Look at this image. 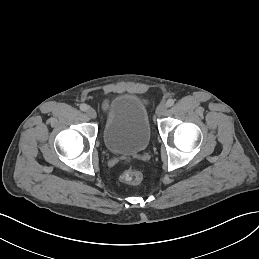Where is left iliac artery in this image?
Instances as JSON below:
<instances>
[{"label":"left iliac artery","instance_id":"obj_1","mask_svg":"<svg viewBox=\"0 0 259 259\" xmlns=\"http://www.w3.org/2000/svg\"><path fill=\"white\" fill-rule=\"evenodd\" d=\"M174 102H175L174 99H168L167 102H166L167 107L173 106Z\"/></svg>","mask_w":259,"mask_h":259}]
</instances>
